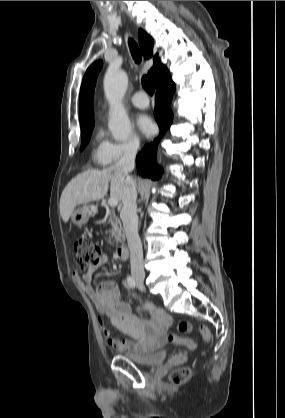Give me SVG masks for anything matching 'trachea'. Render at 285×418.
I'll return each mask as SVG.
<instances>
[{
	"mask_svg": "<svg viewBox=\"0 0 285 418\" xmlns=\"http://www.w3.org/2000/svg\"><path fill=\"white\" fill-rule=\"evenodd\" d=\"M128 43L135 62L140 63L141 55L137 44L133 41V39H129ZM142 86L150 95L154 94V83L150 76L144 75L142 77Z\"/></svg>",
	"mask_w": 285,
	"mask_h": 418,
	"instance_id": "3493384b",
	"label": "trachea"
}]
</instances>
